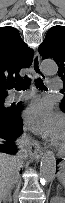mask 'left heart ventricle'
<instances>
[{"mask_svg": "<svg viewBox=\"0 0 65 203\" xmlns=\"http://www.w3.org/2000/svg\"><path fill=\"white\" fill-rule=\"evenodd\" d=\"M59 145L65 144V133L61 136V138L57 141Z\"/></svg>", "mask_w": 65, "mask_h": 203, "instance_id": "left-heart-ventricle-1", "label": "left heart ventricle"}]
</instances>
